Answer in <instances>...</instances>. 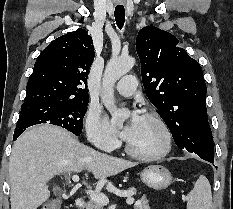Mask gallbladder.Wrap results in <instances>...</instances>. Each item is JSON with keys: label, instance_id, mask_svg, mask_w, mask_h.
<instances>
[{"label": "gallbladder", "instance_id": "gallbladder-1", "mask_svg": "<svg viewBox=\"0 0 233 209\" xmlns=\"http://www.w3.org/2000/svg\"><path fill=\"white\" fill-rule=\"evenodd\" d=\"M54 193H55L56 195H61V194H62V189H61V188H55V189H54Z\"/></svg>", "mask_w": 233, "mask_h": 209}]
</instances>
